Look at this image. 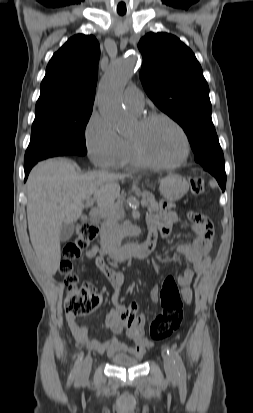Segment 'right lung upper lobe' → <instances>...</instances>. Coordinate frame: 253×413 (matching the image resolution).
Masks as SVG:
<instances>
[{
    "label": "right lung upper lobe",
    "mask_w": 253,
    "mask_h": 413,
    "mask_svg": "<svg viewBox=\"0 0 253 413\" xmlns=\"http://www.w3.org/2000/svg\"><path fill=\"white\" fill-rule=\"evenodd\" d=\"M99 57V43L93 35L71 37L47 65L35 113L92 109Z\"/></svg>",
    "instance_id": "cb5924a9"
}]
</instances>
